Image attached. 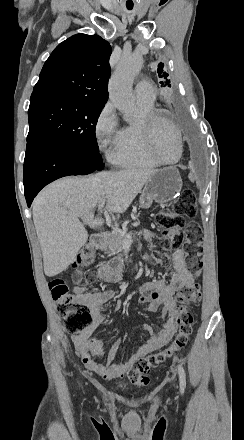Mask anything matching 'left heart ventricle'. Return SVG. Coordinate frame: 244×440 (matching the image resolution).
<instances>
[{"mask_svg":"<svg viewBox=\"0 0 244 440\" xmlns=\"http://www.w3.org/2000/svg\"><path fill=\"white\" fill-rule=\"evenodd\" d=\"M162 124L161 122L153 127L156 129V132L152 137V143L154 144L155 151H158L164 160L170 161L177 156L178 137L176 132L170 129L171 127L167 125L164 127Z\"/></svg>","mask_w":244,"mask_h":440,"instance_id":"left-heart-ventricle-1","label":"left heart ventricle"}]
</instances>
